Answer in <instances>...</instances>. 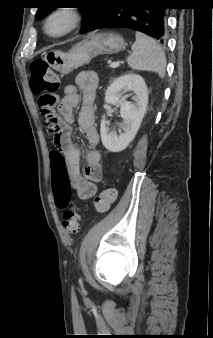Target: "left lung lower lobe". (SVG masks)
Listing matches in <instances>:
<instances>
[{
  "mask_svg": "<svg viewBox=\"0 0 213 338\" xmlns=\"http://www.w3.org/2000/svg\"><path fill=\"white\" fill-rule=\"evenodd\" d=\"M164 9L157 0H104L100 11L81 33L123 27L146 33L163 43L167 35Z\"/></svg>",
  "mask_w": 213,
  "mask_h": 338,
  "instance_id": "1",
  "label": "left lung lower lobe"
}]
</instances>
